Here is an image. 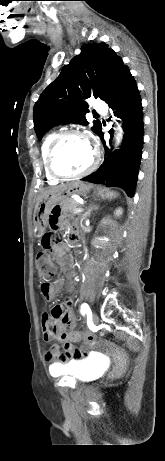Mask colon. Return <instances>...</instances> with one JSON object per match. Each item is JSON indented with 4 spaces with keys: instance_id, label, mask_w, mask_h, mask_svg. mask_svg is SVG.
<instances>
[{
    "instance_id": "colon-1",
    "label": "colon",
    "mask_w": 165,
    "mask_h": 461,
    "mask_svg": "<svg viewBox=\"0 0 165 461\" xmlns=\"http://www.w3.org/2000/svg\"><path fill=\"white\" fill-rule=\"evenodd\" d=\"M59 242V237L55 232H47L43 235L41 239L42 250L37 254L35 258L37 274L41 278H46L53 276L55 273V266L53 262L49 259L48 253L54 245ZM58 306L53 308L52 314L55 317L59 316ZM92 339V336H88ZM61 349L67 354L72 356L73 360H79L83 358L88 353V345L86 343H81L80 347H77V340H63L62 343H59Z\"/></svg>"
}]
</instances>
